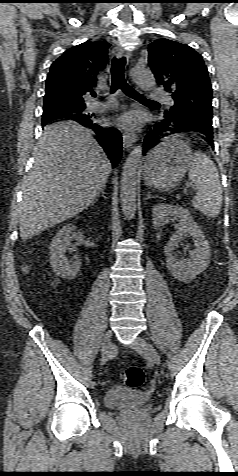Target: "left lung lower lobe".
<instances>
[{
    "label": "left lung lower lobe",
    "mask_w": 238,
    "mask_h": 476,
    "mask_svg": "<svg viewBox=\"0 0 238 476\" xmlns=\"http://www.w3.org/2000/svg\"><path fill=\"white\" fill-rule=\"evenodd\" d=\"M185 132L202 134V139L214 149L212 117L193 113L179 115L177 113H164L163 111L159 121L144 139L143 151L146 152L157 146L163 137Z\"/></svg>",
    "instance_id": "left-lung-lower-lobe-1"
}]
</instances>
